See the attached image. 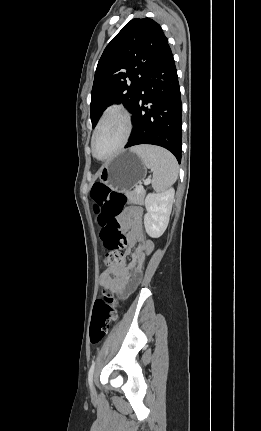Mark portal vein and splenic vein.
I'll return each mask as SVG.
<instances>
[{"label": "portal vein and splenic vein", "mask_w": 261, "mask_h": 431, "mask_svg": "<svg viewBox=\"0 0 261 431\" xmlns=\"http://www.w3.org/2000/svg\"><path fill=\"white\" fill-rule=\"evenodd\" d=\"M151 182L150 178L146 179V181L144 182L145 184H149ZM138 192H142L144 190L143 186H138L137 188Z\"/></svg>", "instance_id": "portal-vein-and-splenic-vein-1"}]
</instances>
